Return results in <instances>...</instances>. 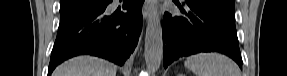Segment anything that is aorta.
Returning <instances> with one entry per match:
<instances>
[{
	"mask_svg": "<svg viewBox=\"0 0 287 76\" xmlns=\"http://www.w3.org/2000/svg\"><path fill=\"white\" fill-rule=\"evenodd\" d=\"M145 63L148 71L155 73L163 57V39L160 18L157 13L150 16L145 35Z\"/></svg>",
	"mask_w": 287,
	"mask_h": 76,
	"instance_id": "obj_1",
	"label": "aorta"
}]
</instances>
